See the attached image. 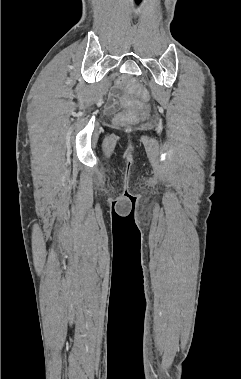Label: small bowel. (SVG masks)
I'll return each instance as SVG.
<instances>
[{"mask_svg":"<svg viewBox=\"0 0 241 379\" xmlns=\"http://www.w3.org/2000/svg\"><path fill=\"white\" fill-rule=\"evenodd\" d=\"M115 104H116L115 95L111 94L110 97H109V99H108L107 105H108L109 108H113L115 106Z\"/></svg>","mask_w":241,"mask_h":379,"instance_id":"small-bowel-1","label":"small bowel"}]
</instances>
